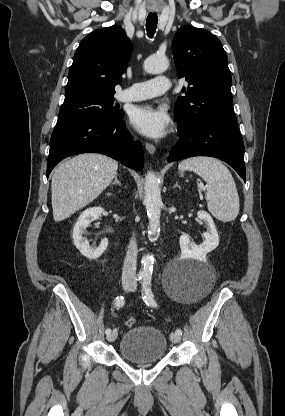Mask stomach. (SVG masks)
Returning <instances> with one entry per match:
<instances>
[{
  "label": "stomach",
  "mask_w": 285,
  "mask_h": 416,
  "mask_svg": "<svg viewBox=\"0 0 285 416\" xmlns=\"http://www.w3.org/2000/svg\"><path fill=\"white\" fill-rule=\"evenodd\" d=\"M180 176H181V178H183L184 172H180Z\"/></svg>",
  "instance_id": "0dacf381"
}]
</instances>
